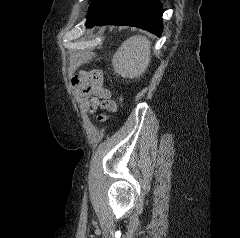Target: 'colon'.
Segmentation results:
<instances>
[{
  "mask_svg": "<svg viewBox=\"0 0 240 238\" xmlns=\"http://www.w3.org/2000/svg\"><path fill=\"white\" fill-rule=\"evenodd\" d=\"M120 102H122V98H120Z\"/></svg>",
  "mask_w": 240,
  "mask_h": 238,
  "instance_id": "5ec220e1",
  "label": "colon"
}]
</instances>
